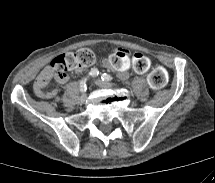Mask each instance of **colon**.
Segmentation results:
<instances>
[{"label":"colon","mask_w":215,"mask_h":183,"mask_svg":"<svg viewBox=\"0 0 215 183\" xmlns=\"http://www.w3.org/2000/svg\"><path fill=\"white\" fill-rule=\"evenodd\" d=\"M94 60V53L87 48L79 49L76 52L61 54L50 63L45 74V79L63 78L69 71H77L91 66L94 63ZM167 78L166 70L161 67H156L148 73L147 81L151 87L161 88L167 83Z\"/></svg>","instance_id":"obj_1"}]
</instances>
